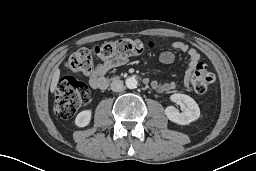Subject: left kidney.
<instances>
[{"label": "left kidney", "instance_id": "obj_1", "mask_svg": "<svg viewBox=\"0 0 256 171\" xmlns=\"http://www.w3.org/2000/svg\"><path fill=\"white\" fill-rule=\"evenodd\" d=\"M171 100L177 104H185L186 109L179 112L174 106H168L165 109L167 118L179 125H187L200 117V109L193 98L188 95L175 93L171 96Z\"/></svg>", "mask_w": 256, "mask_h": 171}]
</instances>
